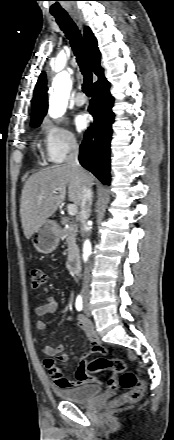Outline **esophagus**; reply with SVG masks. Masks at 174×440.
<instances>
[{
	"label": "esophagus",
	"instance_id": "34e87169",
	"mask_svg": "<svg viewBox=\"0 0 174 440\" xmlns=\"http://www.w3.org/2000/svg\"><path fill=\"white\" fill-rule=\"evenodd\" d=\"M72 18L79 27H82V20L78 16L72 15Z\"/></svg>",
	"mask_w": 174,
	"mask_h": 440
}]
</instances>
